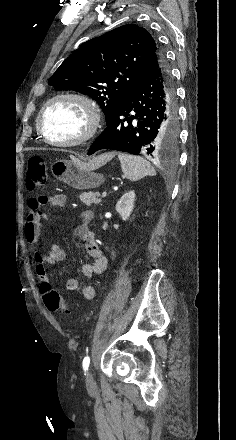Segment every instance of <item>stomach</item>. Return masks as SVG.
Masks as SVG:
<instances>
[{
    "label": "stomach",
    "mask_w": 236,
    "mask_h": 440,
    "mask_svg": "<svg viewBox=\"0 0 236 440\" xmlns=\"http://www.w3.org/2000/svg\"><path fill=\"white\" fill-rule=\"evenodd\" d=\"M94 170L78 159L57 160L51 165L54 177L78 190L96 188L104 183V175Z\"/></svg>",
    "instance_id": "stomach-1"
}]
</instances>
